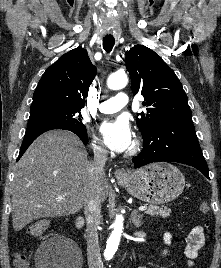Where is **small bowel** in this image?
Segmentation results:
<instances>
[{
    "mask_svg": "<svg viewBox=\"0 0 221 268\" xmlns=\"http://www.w3.org/2000/svg\"><path fill=\"white\" fill-rule=\"evenodd\" d=\"M205 241L204 230L201 226H195L191 229L186 239L185 255L188 266H192L197 258L199 250L203 247ZM145 268V267H141Z\"/></svg>",
    "mask_w": 221,
    "mask_h": 268,
    "instance_id": "1",
    "label": "small bowel"
}]
</instances>
